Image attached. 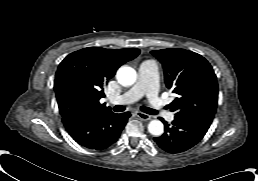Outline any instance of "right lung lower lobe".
Listing matches in <instances>:
<instances>
[{
    "mask_svg": "<svg viewBox=\"0 0 258 181\" xmlns=\"http://www.w3.org/2000/svg\"><path fill=\"white\" fill-rule=\"evenodd\" d=\"M129 116V112L116 114L112 111L83 110L64 117L62 121L78 144L102 150L119 138Z\"/></svg>",
    "mask_w": 258,
    "mask_h": 181,
    "instance_id": "obj_1",
    "label": "right lung lower lobe"
}]
</instances>
